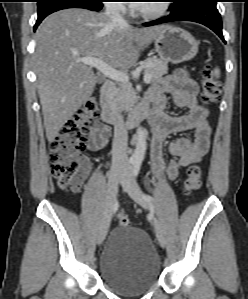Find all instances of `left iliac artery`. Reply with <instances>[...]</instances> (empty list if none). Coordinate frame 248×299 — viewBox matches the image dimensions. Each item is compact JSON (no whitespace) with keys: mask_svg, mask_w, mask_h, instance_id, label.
Masks as SVG:
<instances>
[{"mask_svg":"<svg viewBox=\"0 0 248 299\" xmlns=\"http://www.w3.org/2000/svg\"><path fill=\"white\" fill-rule=\"evenodd\" d=\"M140 168H141V161H135L133 163V171H132L133 176L135 178L138 176ZM143 197L149 203L154 201V199L150 195L144 194Z\"/></svg>","mask_w":248,"mask_h":299,"instance_id":"44dca946","label":"left iliac artery"}]
</instances>
